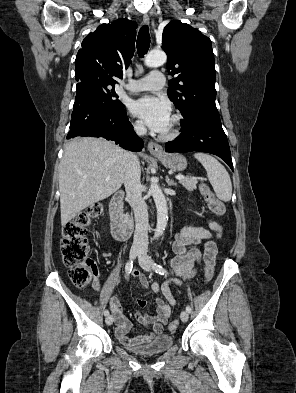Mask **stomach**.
<instances>
[{"mask_svg":"<svg viewBox=\"0 0 296 393\" xmlns=\"http://www.w3.org/2000/svg\"><path fill=\"white\" fill-rule=\"evenodd\" d=\"M161 163L171 170L183 171L187 167L186 158L178 153H163L160 155H155Z\"/></svg>","mask_w":296,"mask_h":393,"instance_id":"stomach-1","label":"stomach"}]
</instances>
